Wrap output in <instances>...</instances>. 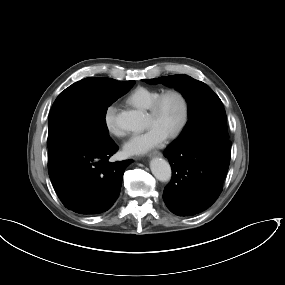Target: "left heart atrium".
I'll list each match as a JSON object with an SVG mask.
<instances>
[{"label": "left heart atrium", "mask_w": 285, "mask_h": 285, "mask_svg": "<svg viewBox=\"0 0 285 285\" xmlns=\"http://www.w3.org/2000/svg\"><path fill=\"white\" fill-rule=\"evenodd\" d=\"M167 135L158 127L151 126L146 132L132 135L124 144V151L128 155L145 154L151 149L160 146Z\"/></svg>", "instance_id": "1"}]
</instances>
